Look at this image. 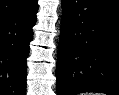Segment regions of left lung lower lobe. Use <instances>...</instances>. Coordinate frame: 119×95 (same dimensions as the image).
Listing matches in <instances>:
<instances>
[{
    "label": "left lung lower lobe",
    "instance_id": "1",
    "mask_svg": "<svg viewBox=\"0 0 119 95\" xmlns=\"http://www.w3.org/2000/svg\"><path fill=\"white\" fill-rule=\"evenodd\" d=\"M57 95H119V4L62 0Z\"/></svg>",
    "mask_w": 119,
    "mask_h": 95
}]
</instances>
